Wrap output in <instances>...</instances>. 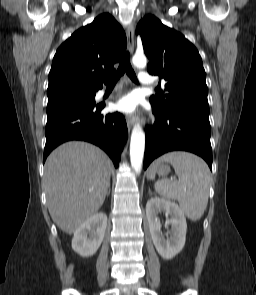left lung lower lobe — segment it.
<instances>
[{
  "label": "left lung lower lobe",
  "mask_w": 256,
  "mask_h": 295,
  "mask_svg": "<svg viewBox=\"0 0 256 295\" xmlns=\"http://www.w3.org/2000/svg\"><path fill=\"white\" fill-rule=\"evenodd\" d=\"M156 122L146 127L144 169L160 155L183 150L201 156L212 170L209 113L188 108L162 112L152 105Z\"/></svg>",
  "instance_id": "obj_1"
}]
</instances>
